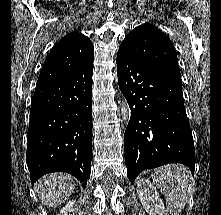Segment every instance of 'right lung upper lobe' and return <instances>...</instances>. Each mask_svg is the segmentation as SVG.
<instances>
[{
	"mask_svg": "<svg viewBox=\"0 0 221 215\" xmlns=\"http://www.w3.org/2000/svg\"><path fill=\"white\" fill-rule=\"evenodd\" d=\"M94 58L90 39L79 32L64 36L50 51L41 69L37 85L66 77Z\"/></svg>",
	"mask_w": 221,
	"mask_h": 215,
	"instance_id": "cb5924a9",
	"label": "right lung upper lobe"
}]
</instances>
